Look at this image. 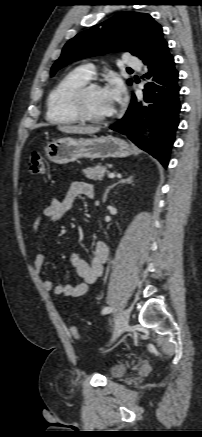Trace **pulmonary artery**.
<instances>
[{
    "instance_id": "1",
    "label": "pulmonary artery",
    "mask_w": 202,
    "mask_h": 437,
    "mask_svg": "<svg viewBox=\"0 0 202 437\" xmlns=\"http://www.w3.org/2000/svg\"><path fill=\"white\" fill-rule=\"evenodd\" d=\"M125 64L129 68H133V69H140L141 67V62L136 57H130V56L127 57L125 60ZM81 69L89 78H91V76L94 74V69L91 65H85Z\"/></svg>"
}]
</instances>
